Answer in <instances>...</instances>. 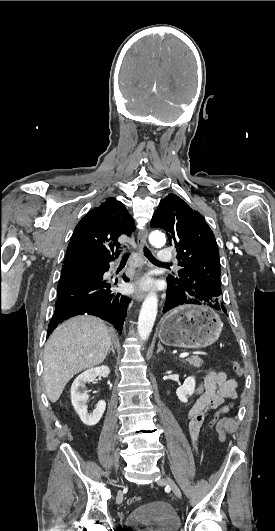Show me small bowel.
<instances>
[{
    "mask_svg": "<svg viewBox=\"0 0 275 531\" xmlns=\"http://www.w3.org/2000/svg\"><path fill=\"white\" fill-rule=\"evenodd\" d=\"M237 387V380L228 378L223 371L209 370L197 382L194 388L195 399L187 413V426L193 443H196L201 426L210 411L216 410L213 419L217 421L229 410L230 405H225V402L237 398Z\"/></svg>",
    "mask_w": 275,
    "mask_h": 531,
    "instance_id": "c3829d8e",
    "label": "small bowel"
}]
</instances>
